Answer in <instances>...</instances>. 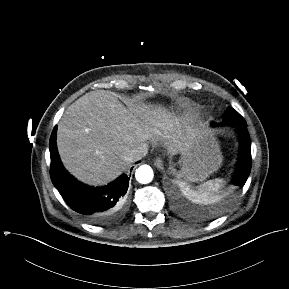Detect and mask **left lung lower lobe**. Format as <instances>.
<instances>
[{
    "label": "left lung lower lobe",
    "mask_w": 289,
    "mask_h": 289,
    "mask_svg": "<svg viewBox=\"0 0 289 289\" xmlns=\"http://www.w3.org/2000/svg\"><path fill=\"white\" fill-rule=\"evenodd\" d=\"M234 126H237L240 135V154L232 182L235 185L243 186L251 170V142L246 126Z\"/></svg>",
    "instance_id": "0a47b994"
}]
</instances>
